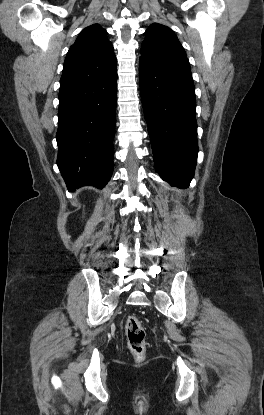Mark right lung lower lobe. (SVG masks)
<instances>
[{"label": "right lung lower lobe", "instance_id": "obj_1", "mask_svg": "<svg viewBox=\"0 0 264 415\" xmlns=\"http://www.w3.org/2000/svg\"><path fill=\"white\" fill-rule=\"evenodd\" d=\"M117 73L90 83L60 88L57 165L68 190L102 189L114 168Z\"/></svg>", "mask_w": 264, "mask_h": 415}]
</instances>
